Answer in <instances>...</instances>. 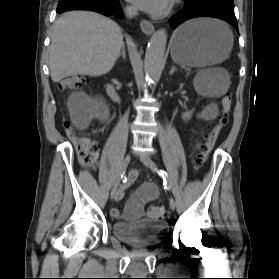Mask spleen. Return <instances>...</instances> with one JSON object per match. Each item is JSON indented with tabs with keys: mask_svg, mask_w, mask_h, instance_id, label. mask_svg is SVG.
I'll return each instance as SVG.
<instances>
[{
	"mask_svg": "<svg viewBox=\"0 0 279 279\" xmlns=\"http://www.w3.org/2000/svg\"><path fill=\"white\" fill-rule=\"evenodd\" d=\"M219 24L222 26L223 30L226 33H231L230 29L224 25L223 23L219 22ZM233 36V34H232ZM214 72L212 70H206L203 71L201 73H199L195 80V86L197 88V90L204 94V95H217V96H221L223 94L226 93L228 87H229V77H225L222 80H216L213 79V75Z\"/></svg>",
	"mask_w": 279,
	"mask_h": 279,
	"instance_id": "obj_1",
	"label": "spleen"
}]
</instances>
